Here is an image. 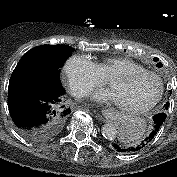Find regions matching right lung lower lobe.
Instances as JSON below:
<instances>
[{"mask_svg": "<svg viewBox=\"0 0 177 177\" xmlns=\"http://www.w3.org/2000/svg\"><path fill=\"white\" fill-rule=\"evenodd\" d=\"M62 84L42 75L10 78L9 113L18 130L33 140L50 138L70 114Z\"/></svg>", "mask_w": 177, "mask_h": 177, "instance_id": "1", "label": "right lung lower lobe"}]
</instances>
